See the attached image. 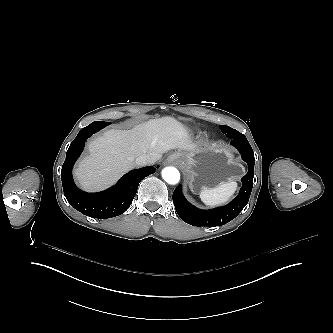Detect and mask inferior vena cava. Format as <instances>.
Listing matches in <instances>:
<instances>
[{"label":"inferior vena cava","instance_id":"obj_1","mask_svg":"<svg viewBox=\"0 0 333 333\" xmlns=\"http://www.w3.org/2000/svg\"><path fill=\"white\" fill-rule=\"evenodd\" d=\"M136 164L138 166H144L147 164H151V158L148 155H140L136 158Z\"/></svg>","mask_w":333,"mask_h":333}]
</instances>
